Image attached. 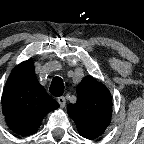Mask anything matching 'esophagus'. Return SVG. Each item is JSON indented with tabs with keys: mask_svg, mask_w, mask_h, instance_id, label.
I'll use <instances>...</instances> for the list:
<instances>
[{
	"mask_svg": "<svg viewBox=\"0 0 144 144\" xmlns=\"http://www.w3.org/2000/svg\"><path fill=\"white\" fill-rule=\"evenodd\" d=\"M57 101H58V103H59V105H60L61 108L65 107V105H66V99H65L64 96L58 97Z\"/></svg>",
	"mask_w": 144,
	"mask_h": 144,
	"instance_id": "esophagus-1",
	"label": "esophagus"
}]
</instances>
